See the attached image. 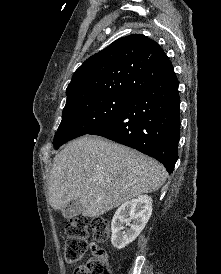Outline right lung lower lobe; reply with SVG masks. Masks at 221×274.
I'll return each mask as SVG.
<instances>
[{
  "label": "right lung lower lobe",
  "mask_w": 221,
  "mask_h": 274,
  "mask_svg": "<svg viewBox=\"0 0 221 274\" xmlns=\"http://www.w3.org/2000/svg\"><path fill=\"white\" fill-rule=\"evenodd\" d=\"M174 70L145 88L92 131L160 161L169 174L178 159L180 97Z\"/></svg>",
  "instance_id": "1"
}]
</instances>
